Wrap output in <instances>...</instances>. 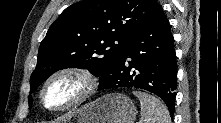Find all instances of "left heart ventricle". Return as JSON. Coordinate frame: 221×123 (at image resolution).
Here are the masks:
<instances>
[{
    "label": "left heart ventricle",
    "instance_id": "left-heart-ventricle-1",
    "mask_svg": "<svg viewBox=\"0 0 221 123\" xmlns=\"http://www.w3.org/2000/svg\"><path fill=\"white\" fill-rule=\"evenodd\" d=\"M79 90L80 83L75 77H60L47 87L44 100L48 106L58 107L72 100Z\"/></svg>",
    "mask_w": 221,
    "mask_h": 123
}]
</instances>
